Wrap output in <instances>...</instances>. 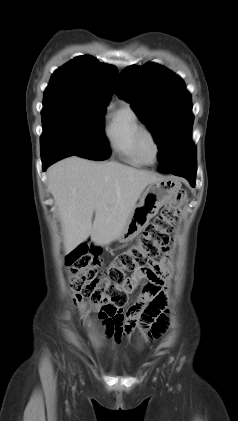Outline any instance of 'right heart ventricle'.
I'll return each instance as SVG.
<instances>
[{"label": "right heart ventricle", "mask_w": 238, "mask_h": 421, "mask_svg": "<svg viewBox=\"0 0 238 421\" xmlns=\"http://www.w3.org/2000/svg\"><path fill=\"white\" fill-rule=\"evenodd\" d=\"M143 124L128 103H122L108 115L105 127L106 137L113 150L134 166H144L146 161L141 156L137 138Z\"/></svg>", "instance_id": "right-heart-ventricle-1"}]
</instances>
